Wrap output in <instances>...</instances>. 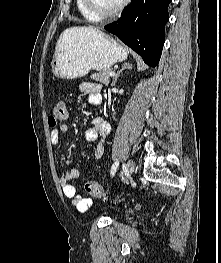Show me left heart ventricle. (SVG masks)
<instances>
[{
	"mask_svg": "<svg viewBox=\"0 0 221 263\" xmlns=\"http://www.w3.org/2000/svg\"><path fill=\"white\" fill-rule=\"evenodd\" d=\"M93 4L100 10V11H110L115 9L122 0H92Z\"/></svg>",
	"mask_w": 221,
	"mask_h": 263,
	"instance_id": "1",
	"label": "left heart ventricle"
}]
</instances>
